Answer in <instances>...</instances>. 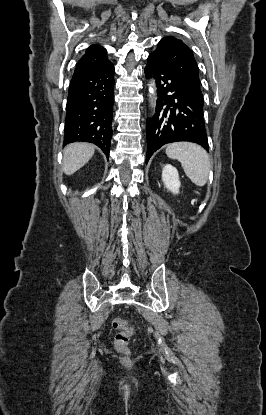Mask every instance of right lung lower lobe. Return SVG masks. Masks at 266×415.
Wrapping results in <instances>:
<instances>
[{"instance_id":"98d812e1","label":"right lung lower lobe","mask_w":266,"mask_h":415,"mask_svg":"<svg viewBox=\"0 0 266 415\" xmlns=\"http://www.w3.org/2000/svg\"><path fill=\"white\" fill-rule=\"evenodd\" d=\"M114 66L72 77L67 98L64 144L85 141L100 147L107 158L112 138Z\"/></svg>"}]
</instances>
